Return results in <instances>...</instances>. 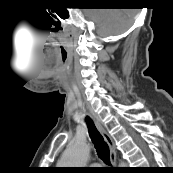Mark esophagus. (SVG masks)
<instances>
[{
    "mask_svg": "<svg viewBox=\"0 0 173 173\" xmlns=\"http://www.w3.org/2000/svg\"><path fill=\"white\" fill-rule=\"evenodd\" d=\"M95 125L99 132L102 134L104 140L109 146L110 149V161L111 164L115 167L117 165V156H116V148L113 139L109 135V133L105 130V128L102 126V124L95 118H93Z\"/></svg>",
    "mask_w": 173,
    "mask_h": 173,
    "instance_id": "34e87169",
    "label": "esophagus"
}]
</instances>
